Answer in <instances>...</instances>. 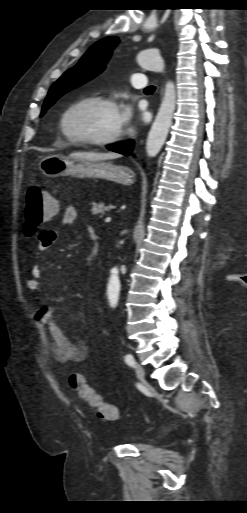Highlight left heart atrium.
<instances>
[{
    "instance_id": "obj_1",
    "label": "left heart atrium",
    "mask_w": 247,
    "mask_h": 513,
    "mask_svg": "<svg viewBox=\"0 0 247 513\" xmlns=\"http://www.w3.org/2000/svg\"><path fill=\"white\" fill-rule=\"evenodd\" d=\"M132 117L133 112L129 105H123L118 108V119L121 127L129 124L132 120Z\"/></svg>"
}]
</instances>
